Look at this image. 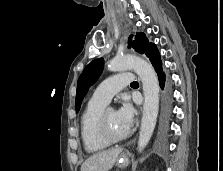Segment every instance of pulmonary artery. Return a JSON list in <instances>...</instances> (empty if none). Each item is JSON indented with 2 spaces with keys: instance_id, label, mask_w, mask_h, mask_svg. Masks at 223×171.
<instances>
[{
  "instance_id": "obj_1",
  "label": "pulmonary artery",
  "mask_w": 223,
  "mask_h": 171,
  "mask_svg": "<svg viewBox=\"0 0 223 171\" xmlns=\"http://www.w3.org/2000/svg\"><path fill=\"white\" fill-rule=\"evenodd\" d=\"M134 79L133 74L129 72L114 75L103 81L94 91L92 98L94 100L108 104L122 88L129 85Z\"/></svg>"
}]
</instances>
